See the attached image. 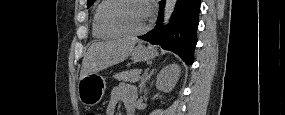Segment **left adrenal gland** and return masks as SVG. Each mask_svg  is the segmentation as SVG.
<instances>
[{"label": "left adrenal gland", "mask_w": 285, "mask_h": 115, "mask_svg": "<svg viewBox=\"0 0 285 115\" xmlns=\"http://www.w3.org/2000/svg\"><path fill=\"white\" fill-rule=\"evenodd\" d=\"M149 69L146 70L144 76L142 77L141 79V83H140V92H142L144 86H145V83L146 81L150 78L151 74L153 73L154 69L148 73Z\"/></svg>", "instance_id": "a2214340"}]
</instances>
